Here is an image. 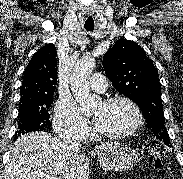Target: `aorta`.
Returning a JSON list of instances; mask_svg holds the SVG:
<instances>
[{
    "label": "aorta",
    "instance_id": "762f6f07",
    "mask_svg": "<svg viewBox=\"0 0 183 179\" xmlns=\"http://www.w3.org/2000/svg\"><path fill=\"white\" fill-rule=\"evenodd\" d=\"M94 68L95 59L83 57L77 61L70 76L71 91L83 112L93 111L101 102L100 97L92 94L89 88V78Z\"/></svg>",
    "mask_w": 183,
    "mask_h": 179
}]
</instances>
